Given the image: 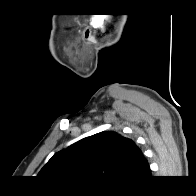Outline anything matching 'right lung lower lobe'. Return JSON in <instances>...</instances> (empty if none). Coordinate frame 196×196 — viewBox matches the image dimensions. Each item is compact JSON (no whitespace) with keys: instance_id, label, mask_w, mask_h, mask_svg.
<instances>
[{"instance_id":"98d812e1","label":"right lung lower lobe","mask_w":196,"mask_h":196,"mask_svg":"<svg viewBox=\"0 0 196 196\" xmlns=\"http://www.w3.org/2000/svg\"><path fill=\"white\" fill-rule=\"evenodd\" d=\"M150 176H148V178H149ZM144 181V180H143ZM142 181V182H143ZM142 182H140V183H137V184H132V185H125V187H134V186H138V185H140Z\"/></svg>"}]
</instances>
